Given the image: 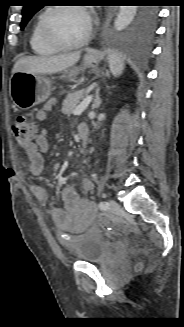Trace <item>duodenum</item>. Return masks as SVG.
<instances>
[{"mask_svg": "<svg viewBox=\"0 0 184 327\" xmlns=\"http://www.w3.org/2000/svg\"><path fill=\"white\" fill-rule=\"evenodd\" d=\"M78 132L82 143L85 144L88 140V128L85 125H80Z\"/></svg>", "mask_w": 184, "mask_h": 327, "instance_id": "410a0bca", "label": "duodenum"}]
</instances>
